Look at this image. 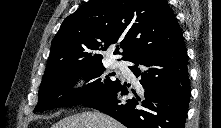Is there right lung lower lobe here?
I'll return each mask as SVG.
<instances>
[{
	"instance_id": "1",
	"label": "right lung lower lobe",
	"mask_w": 221,
	"mask_h": 128,
	"mask_svg": "<svg viewBox=\"0 0 221 128\" xmlns=\"http://www.w3.org/2000/svg\"><path fill=\"white\" fill-rule=\"evenodd\" d=\"M129 67L144 88V96L117 101L127 94L126 83L84 103L128 128H184L190 100L188 55L184 40L169 48L138 56Z\"/></svg>"
}]
</instances>
